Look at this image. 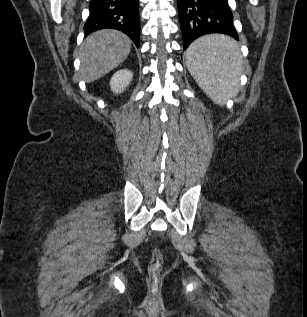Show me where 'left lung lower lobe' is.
<instances>
[{
  "instance_id": "1",
  "label": "left lung lower lobe",
  "mask_w": 307,
  "mask_h": 317,
  "mask_svg": "<svg viewBox=\"0 0 307 317\" xmlns=\"http://www.w3.org/2000/svg\"><path fill=\"white\" fill-rule=\"evenodd\" d=\"M177 3L184 50L195 39L210 33L226 34L238 41L228 0H177ZM232 50L225 49L215 57L228 60L233 56Z\"/></svg>"
}]
</instances>
